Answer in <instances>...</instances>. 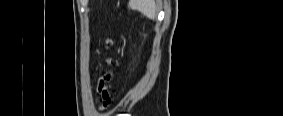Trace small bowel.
<instances>
[{"label":"small bowel","mask_w":283,"mask_h":116,"mask_svg":"<svg viewBox=\"0 0 283 116\" xmlns=\"http://www.w3.org/2000/svg\"><path fill=\"white\" fill-rule=\"evenodd\" d=\"M105 85H106V80H104V78H102L100 80L99 83V94H100V98L103 101L104 99H110L109 94L107 93V91L105 90Z\"/></svg>","instance_id":"small-bowel-1"}]
</instances>
